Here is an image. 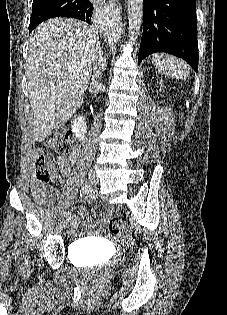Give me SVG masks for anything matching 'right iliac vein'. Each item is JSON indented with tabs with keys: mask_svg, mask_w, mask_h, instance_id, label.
Instances as JSON below:
<instances>
[{
	"mask_svg": "<svg viewBox=\"0 0 227 315\" xmlns=\"http://www.w3.org/2000/svg\"><path fill=\"white\" fill-rule=\"evenodd\" d=\"M98 183V177L95 173H89L88 175V179H87V185H89L90 187H94L96 184ZM73 223V218L72 217H68L65 220V227H69L71 224Z\"/></svg>",
	"mask_w": 227,
	"mask_h": 315,
	"instance_id": "63e3f726",
	"label": "right iliac vein"
}]
</instances>
